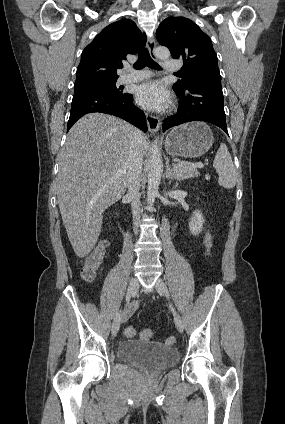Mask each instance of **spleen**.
I'll return each mask as SVG.
<instances>
[{"label": "spleen", "instance_id": "obj_1", "mask_svg": "<svg viewBox=\"0 0 285 424\" xmlns=\"http://www.w3.org/2000/svg\"><path fill=\"white\" fill-rule=\"evenodd\" d=\"M218 173V183L220 186L231 189L235 187L237 182V172L233 165L231 155L227 146L221 143L213 163Z\"/></svg>", "mask_w": 285, "mask_h": 424}]
</instances>
